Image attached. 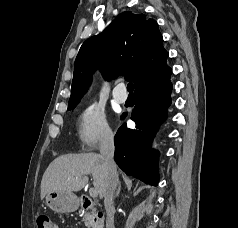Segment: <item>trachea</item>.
I'll return each instance as SVG.
<instances>
[{
  "instance_id": "trachea-1",
  "label": "trachea",
  "mask_w": 238,
  "mask_h": 228,
  "mask_svg": "<svg viewBox=\"0 0 238 228\" xmlns=\"http://www.w3.org/2000/svg\"><path fill=\"white\" fill-rule=\"evenodd\" d=\"M127 90L130 95H133V84L132 83H128Z\"/></svg>"
}]
</instances>
